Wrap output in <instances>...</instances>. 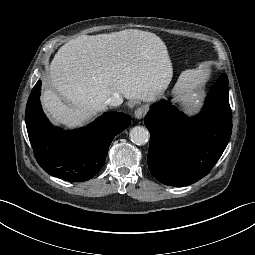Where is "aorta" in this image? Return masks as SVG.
I'll return each instance as SVG.
<instances>
[{
  "label": "aorta",
  "mask_w": 255,
  "mask_h": 255,
  "mask_svg": "<svg viewBox=\"0 0 255 255\" xmlns=\"http://www.w3.org/2000/svg\"><path fill=\"white\" fill-rule=\"evenodd\" d=\"M130 140L137 145H144L149 140V132L142 126H135L130 130Z\"/></svg>",
  "instance_id": "obj_1"
}]
</instances>
